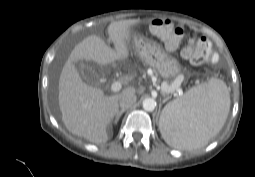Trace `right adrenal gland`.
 Instances as JSON below:
<instances>
[{
	"label": "right adrenal gland",
	"instance_id": "obj_1",
	"mask_svg": "<svg viewBox=\"0 0 255 177\" xmlns=\"http://www.w3.org/2000/svg\"><path fill=\"white\" fill-rule=\"evenodd\" d=\"M126 111V109H121L120 111L117 112L116 117H115V121L114 123L117 124V122L119 121L120 117L122 116V114Z\"/></svg>",
	"mask_w": 255,
	"mask_h": 177
}]
</instances>
